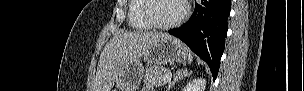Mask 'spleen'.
<instances>
[{"label": "spleen", "instance_id": "obj_1", "mask_svg": "<svg viewBox=\"0 0 304 91\" xmlns=\"http://www.w3.org/2000/svg\"><path fill=\"white\" fill-rule=\"evenodd\" d=\"M192 61H193V57H192L191 54H189V55H188V62H189V64H190Z\"/></svg>", "mask_w": 304, "mask_h": 91}]
</instances>
